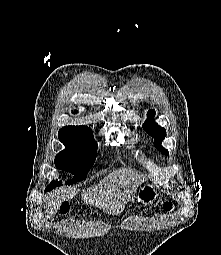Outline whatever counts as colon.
Returning a JSON list of instances; mask_svg holds the SVG:
<instances>
[{"label":"colon","instance_id":"1","mask_svg":"<svg viewBox=\"0 0 221 255\" xmlns=\"http://www.w3.org/2000/svg\"><path fill=\"white\" fill-rule=\"evenodd\" d=\"M173 208H174V204H173L172 202H170V201H167V202H165V203L163 204L161 210H162L163 212H169V211H171ZM65 211H66V207H63V212H65Z\"/></svg>","mask_w":221,"mask_h":255}]
</instances>
